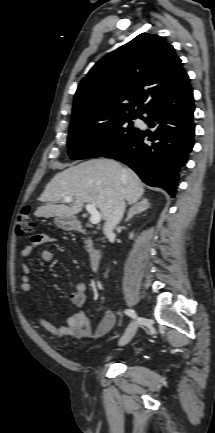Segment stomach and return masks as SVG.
<instances>
[{"label":"stomach","mask_w":215,"mask_h":433,"mask_svg":"<svg viewBox=\"0 0 215 433\" xmlns=\"http://www.w3.org/2000/svg\"><path fill=\"white\" fill-rule=\"evenodd\" d=\"M54 222L61 229L72 230L75 227L76 220L74 218L56 217Z\"/></svg>","instance_id":"0dacf381"}]
</instances>
